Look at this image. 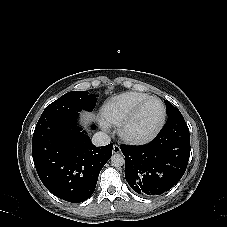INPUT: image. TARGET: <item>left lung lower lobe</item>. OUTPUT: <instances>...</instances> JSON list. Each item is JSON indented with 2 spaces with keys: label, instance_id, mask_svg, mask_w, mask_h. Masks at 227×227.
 Segmentation results:
<instances>
[{
  "label": "left lung lower lobe",
  "instance_id": "left-lung-lower-lobe-1",
  "mask_svg": "<svg viewBox=\"0 0 227 227\" xmlns=\"http://www.w3.org/2000/svg\"><path fill=\"white\" fill-rule=\"evenodd\" d=\"M125 156V178L143 196L169 191L186 171L190 156L189 128L180 113L168 116L158 135L143 146L120 145Z\"/></svg>",
  "mask_w": 227,
  "mask_h": 227
}]
</instances>
